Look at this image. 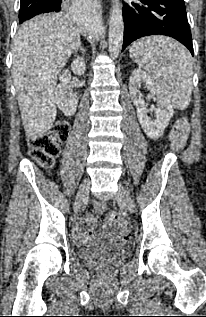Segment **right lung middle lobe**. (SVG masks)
Segmentation results:
<instances>
[{
    "mask_svg": "<svg viewBox=\"0 0 206 317\" xmlns=\"http://www.w3.org/2000/svg\"><path fill=\"white\" fill-rule=\"evenodd\" d=\"M54 0H21L19 11V23L26 21L38 14L64 11L69 0L61 2L59 5H49Z\"/></svg>",
    "mask_w": 206,
    "mask_h": 317,
    "instance_id": "right-lung-middle-lobe-1",
    "label": "right lung middle lobe"
}]
</instances>
